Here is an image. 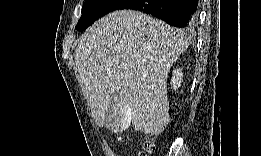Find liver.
Here are the masks:
<instances>
[{
  "label": "liver",
  "mask_w": 261,
  "mask_h": 156,
  "mask_svg": "<svg viewBox=\"0 0 261 156\" xmlns=\"http://www.w3.org/2000/svg\"><path fill=\"white\" fill-rule=\"evenodd\" d=\"M188 46L181 30L139 11L118 10L96 21L74 53L96 125L106 126L115 104L114 132L132 124L138 132L162 133L169 122L168 73Z\"/></svg>",
  "instance_id": "liver-1"
}]
</instances>
